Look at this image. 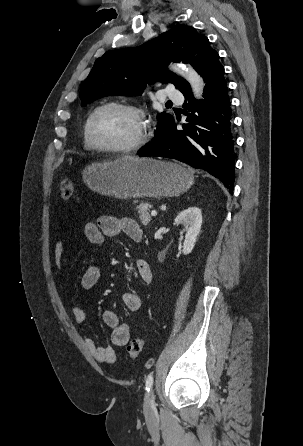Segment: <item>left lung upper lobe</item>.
Returning <instances> with one entry per match:
<instances>
[{
	"mask_svg": "<svg viewBox=\"0 0 303 446\" xmlns=\"http://www.w3.org/2000/svg\"><path fill=\"white\" fill-rule=\"evenodd\" d=\"M217 54L209 40L190 26L179 25L148 43L108 51L95 64L80 86L82 105L108 95H141L145 86L155 81L171 82L181 92L190 88L182 77L164 70L171 61L190 63L202 75L211 58ZM157 131L173 116L158 114Z\"/></svg>",
	"mask_w": 303,
	"mask_h": 446,
	"instance_id": "obj_1",
	"label": "left lung upper lobe"
}]
</instances>
